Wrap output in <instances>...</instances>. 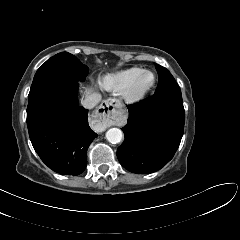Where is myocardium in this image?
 Returning <instances> with one entry per match:
<instances>
[{"mask_svg": "<svg viewBox=\"0 0 240 240\" xmlns=\"http://www.w3.org/2000/svg\"><path fill=\"white\" fill-rule=\"evenodd\" d=\"M145 74H151L153 77L152 83L144 88L139 89L138 84L141 80V78ZM157 77L156 74L151 70H144L125 90H124V98L129 103H139L143 101L148 94L153 90V88L156 85Z\"/></svg>", "mask_w": 240, "mask_h": 240, "instance_id": "1", "label": "myocardium"}]
</instances>
